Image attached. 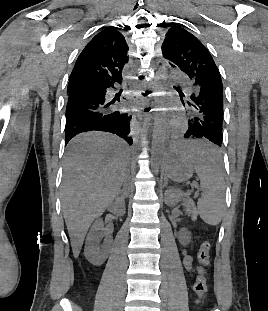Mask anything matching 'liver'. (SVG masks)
I'll use <instances>...</instances> for the list:
<instances>
[{
	"label": "liver",
	"instance_id": "obj_1",
	"mask_svg": "<svg viewBox=\"0 0 268 311\" xmlns=\"http://www.w3.org/2000/svg\"><path fill=\"white\" fill-rule=\"evenodd\" d=\"M129 161L127 144L108 133L80 134L68 144L61 197L75 258L91 223L103 214L120 191Z\"/></svg>",
	"mask_w": 268,
	"mask_h": 311
}]
</instances>
